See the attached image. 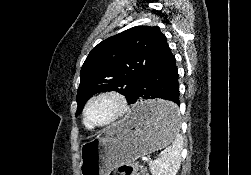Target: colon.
Instances as JSON below:
<instances>
[{
    "mask_svg": "<svg viewBox=\"0 0 251 175\" xmlns=\"http://www.w3.org/2000/svg\"><path fill=\"white\" fill-rule=\"evenodd\" d=\"M119 172L122 175H148L144 164L137 160H132L121 164L119 167Z\"/></svg>",
    "mask_w": 251,
    "mask_h": 175,
    "instance_id": "colon-1",
    "label": "colon"
}]
</instances>
